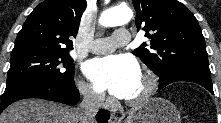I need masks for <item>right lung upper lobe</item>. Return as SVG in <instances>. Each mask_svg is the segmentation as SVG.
I'll return each mask as SVG.
<instances>
[{
	"label": "right lung upper lobe",
	"mask_w": 221,
	"mask_h": 123,
	"mask_svg": "<svg viewBox=\"0 0 221 123\" xmlns=\"http://www.w3.org/2000/svg\"><path fill=\"white\" fill-rule=\"evenodd\" d=\"M86 0H45L28 16L12 51L30 48L70 50Z\"/></svg>",
	"instance_id": "right-lung-upper-lobe-1"
}]
</instances>
